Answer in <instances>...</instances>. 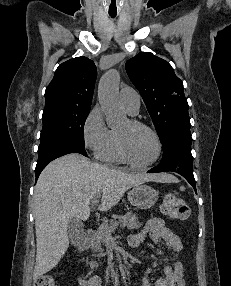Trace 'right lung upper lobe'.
<instances>
[{
    "label": "right lung upper lobe",
    "mask_w": 231,
    "mask_h": 286,
    "mask_svg": "<svg viewBox=\"0 0 231 286\" xmlns=\"http://www.w3.org/2000/svg\"><path fill=\"white\" fill-rule=\"evenodd\" d=\"M96 76L94 62L86 57H77L62 63L45 91V107H90Z\"/></svg>",
    "instance_id": "cb5924a9"
}]
</instances>
